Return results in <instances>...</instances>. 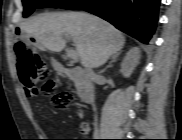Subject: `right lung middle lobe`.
Returning <instances> with one entry per match:
<instances>
[{
	"label": "right lung middle lobe",
	"mask_w": 182,
	"mask_h": 140,
	"mask_svg": "<svg viewBox=\"0 0 182 140\" xmlns=\"http://www.w3.org/2000/svg\"><path fill=\"white\" fill-rule=\"evenodd\" d=\"M96 0H23V16H29L36 8L52 7L69 10H81Z\"/></svg>",
	"instance_id": "dd1d6c3e"
}]
</instances>
